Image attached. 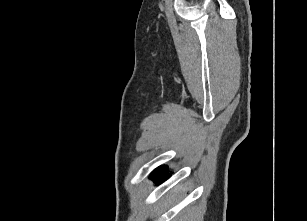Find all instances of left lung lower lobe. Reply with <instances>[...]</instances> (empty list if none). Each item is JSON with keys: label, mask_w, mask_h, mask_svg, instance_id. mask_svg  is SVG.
<instances>
[{"label": "left lung lower lobe", "mask_w": 307, "mask_h": 221, "mask_svg": "<svg viewBox=\"0 0 307 221\" xmlns=\"http://www.w3.org/2000/svg\"><path fill=\"white\" fill-rule=\"evenodd\" d=\"M170 175L167 172V166H161L155 169L150 176V178H156L155 182L156 183H162L165 181Z\"/></svg>", "instance_id": "0a47b994"}]
</instances>
